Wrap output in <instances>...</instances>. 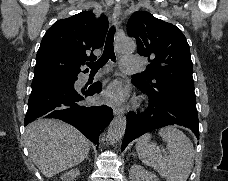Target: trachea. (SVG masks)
I'll list each match as a JSON object with an SVG mask.
<instances>
[{"label": "trachea", "mask_w": 228, "mask_h": 181, "mask_svg": "<svg viewBox=\"0 0 228 181\" xmlns=\"http://www.w3.org/2000/svg\"><path fill=\"white\" fill-rule=\"evenodd\" d=\"M114 34H115V27L112 26L108 31L105 47L102 56L99 60L93 63H87V66L91 69V72H96L100 68H102L108 60H112L116 62L115 52H114Z\"/></svg>", "instance_id": "3493384b"}]
</instances>
